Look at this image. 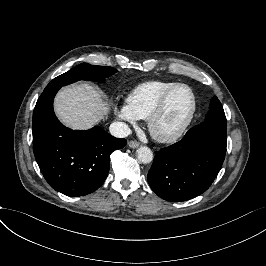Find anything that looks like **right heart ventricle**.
<instances>
[{
	"label": "right heart ventricle",
	"mask_w": 266,
	"mask_h": 266,
	"mask_svg": "<svg viewBox=\"0 0 266 266\" xmlns=\"http://www.w3.org/2000/svg\"><path fill=\"white\" fill-rule=\"evenodd\" d=\"M178 83L173 80H151L136 86L128 99L136 118L146 120L161 96Z\"/></svg>",
	"instance_id": "e07e8e85"
}]
</instances>
